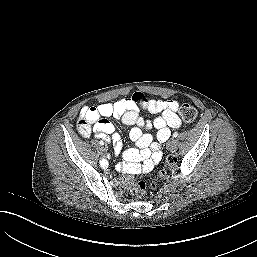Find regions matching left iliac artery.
Instances as JSON below:
<instances>
[{"mask_svg":"<svg viewBox=\"0 0 257 257\" xmlns=\"http://www.w3.org/2000/svg\"><path fill=\"white\" fill-rule=\"evenodd\" d=\"M177 136H178V132H174L173 137H177Z\"/></svg>","mask_w":257,"mask_h":257,"instance_id":"obj_1","label":"left iliac artery"}]
</instances>
